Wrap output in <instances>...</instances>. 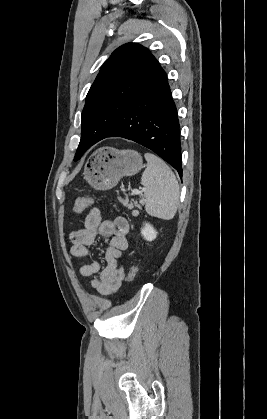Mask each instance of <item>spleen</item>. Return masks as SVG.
Instances as JSON below:
<instances>
[{
    "label": "spleen",
    "instance_id": "3e777b00",
    "mask_svg": "<svg viewBox=\"0 0 267 419\" xmlns=\"http://www.w3.org/2000/svg\"><path fill=\"white\" fill-rule=\"evenodd\" d=\"M147 167L142 174L146 212L164 220L172 219L179 204V184L169 166L152 153L144 155Z\"/></svg>",
    "mask_w": 267,
    "mask_h": 419
}]
</instances>
